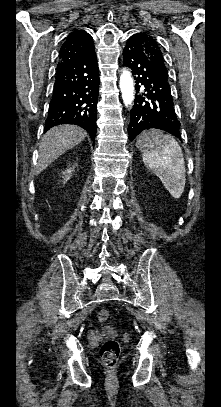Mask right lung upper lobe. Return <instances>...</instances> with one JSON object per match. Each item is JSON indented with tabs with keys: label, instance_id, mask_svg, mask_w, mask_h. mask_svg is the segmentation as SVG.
<instances>
[{
	"label": "right lung upper lobe",
	"instance_id": "right-lung-upper-lobe-1",
	"mask_svg": "<svg viewBox=\"0 0 221 407\" xmlns=\"http://www.w3.org/2000/svg\"><path fill=\"white\" fill-rule=\"evenodd\" d=\"M93 45V39L90 34L84 30H74L66 38L60 53L57 69L84 57Z\"/></svg>",
	"mask_w": 221,
	"mask_h": 407
}]
</instances>
